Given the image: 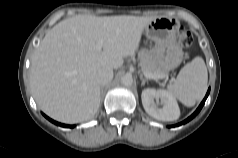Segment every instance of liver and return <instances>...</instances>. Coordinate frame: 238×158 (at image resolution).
Returning <instances> with one entry per match:
<instances>
[{"label":"liver","mask_w":238,"mask_h":158,"mask_svg":"<svg viewBox=\"0 0 238 158\" xmlns=\"http://www.w3.org/2000/svg\"><path fill=\"white\" fill-rule=\"evenodd\" d=\"M156 17L76 15L50 29L31 58L30 84L40 109L63 123L91 119L100 106L97 72L123 66ZM103 40V50H96Z\"/></svg>","instance_id":"6515ba94"}]
</instances>
